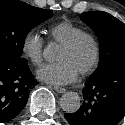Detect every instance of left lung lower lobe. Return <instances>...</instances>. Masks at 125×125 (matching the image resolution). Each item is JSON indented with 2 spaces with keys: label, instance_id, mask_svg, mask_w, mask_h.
I'll return each mask as SVG.
<instances>
[{
  "label": "left lung lower lobe",
  "instance_id": "0a47b994",
  "mask_svg": "<svg viewBox=\"0 0 125 125\" xmlns=\"http://www.w3.org/2000/svg\"><path fill=\"white\" fill-rule=\"evenodd\" d=\"M84 102L70 125H117L125 116V67H114L86 81Z\"/></svg>",
  "mask_w": 125,
  "mask_h": 125
}]
</instances>
